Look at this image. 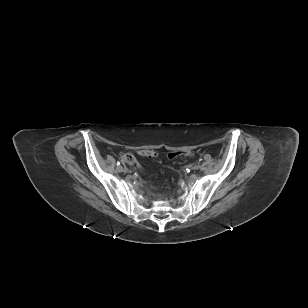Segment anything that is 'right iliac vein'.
<instances>
[{"instance_id":"right-iliac-vein-1","label":"right iliac vein","mask_w":308,"mask_h":308,"mask_svg":"<svg viewBox=\"0 0 308 308\" xmlns=\"http://www.w3.org/2000/svg\"><path fill=\"white\" fill-rule=\"evenodd\" d=\"M120 168H121V171H120V172H125V173L128 172V169H127V168H122V167H120Z\"/></svg>"}]
</instances>
